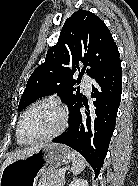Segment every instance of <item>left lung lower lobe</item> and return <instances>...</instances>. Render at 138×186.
I'll return each mask as SVG.
<instances>
[{"label":"left lung lower lobe","mask_w":138,"mask_h":186,"mask_svg":"<svg viewBox=\"0 0 138 186\" xmlns=\"http://www.w3.org/2000/svg\"><path fill=\"white\" fill-rule=\"evenodd\" d=\"M92 104L82 98L71 111L67 131L54 138L81 153L92 166L95 177L99 175L115 128V119L122 93L121 61L108 66L94 78ZM85 107V114L80 108Z\"/></svg>","instance_id":"obj_1"}]
</instances>
